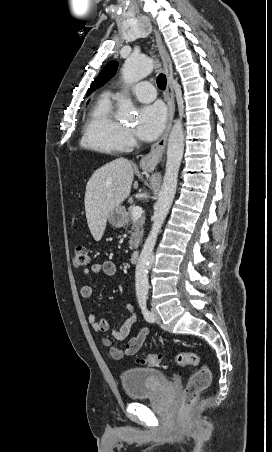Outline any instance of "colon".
Listing matches in <instances>:
<instances>
[{
  "label": "colon",
  "mask_w": 272,
  "mask_h": 452,
  "mask_svg": "<svg viewBox=\"0 0 272 452\" xmlns=\"http://www.w3.org/2000/svg\"><path fill=\"white\" fill-rule=\"evenodd\" d=\"M91 263L88 249L85 245H78L75 248L73 256V266L77 269L88 267ZM139 350L138 340L129 341L123 353L125 355H134ZM175 362L178 366L191 365L198 367L190 376L183 393V406L190 405L198 394L207 389L211 383V371L206 364H203L201 358L194 352H179L174 359L165 358L162 354L148 353L138 359V363L147 366H166L170 362Z\"/></svg>",
  "instance_id": "obj_1"
}]
</instances>
